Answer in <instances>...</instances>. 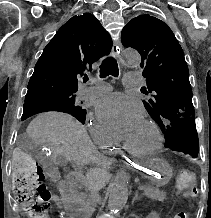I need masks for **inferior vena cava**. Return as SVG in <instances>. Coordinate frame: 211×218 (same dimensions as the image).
I'll use <instances>...</instances> for the list:
<instances>
[{"label": "inferior vena cava", "mask_w": 211, "mask_h": 218, "mask_svg": "<svg viewBox=\"0 0 211 218\" xmlns=\"http://www.w3.org/2000/svg\"><path fill=\"white\" fill-rule=\"evenodd\" d=\"M88 180V198L86 202V210L87 212H94L93 208L96 204L97 198H99V192L101 188H103V182H97L92 178L91 174H87Z\"/></svg>", "instance_id": "inferior-vena-cava-1"}]
</instances>
